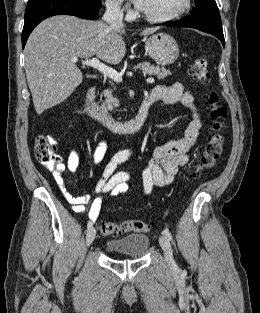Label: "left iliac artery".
Returning <instances> with one entry per match:
<instances>
[{
    "instance_id": "left-iliac-artery-1",
    "label": "left iliac artery",
    "mask_w": 260,
    "mask_h": 313,
    "mask_svg": "<svg viewBox=\"0 0 260 313\" xmlns=\"http://www.w3.org/2000/svg\"><path fill=\"white\" fill-rule=\"evenodd\" d=\"M163 234H164L169 240H172V235H171V233L169 232L168 229H164V230H163Z\"/></svg>"
}]
</instances>
